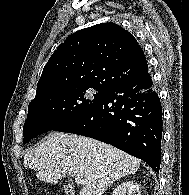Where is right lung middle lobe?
<instances>
[{"label":"right lung middle lobe","instance_id":"obj_1","mask_svg":"<svg viewBox=\"0 0 189 195\" xmlns=\"http://www.w3.org/2000/svg\"><path fill=\"white\" fill-rule=\"evenodd\" d=\"M107 88L80 86L57 90L31 101L23 127V143L78 117L105 96Z\"/></svg>","mask_w":189,"mask_h":195}]
</instances>
